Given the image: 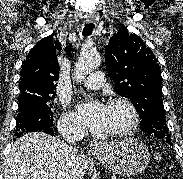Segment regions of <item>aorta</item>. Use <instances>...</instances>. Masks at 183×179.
Returning <instances> with one entry per match:
<instances>
[{
  "mask_svg": "<svg viewBox=\"0 0 183 179\" xmlns=\"http://www.w3.org/2000/svg\"><path fill=\"white\" fill-rule=\"evenodd\" d=\"M101 63V56L98 53L81 56L75 66V80L82 82L84 78L94 71Z\"/></svg>",
  "mask_w": 183,
  "mask_h": 179,
  "instance_id": "obj_1",
  "label": "aorta"
}]
</instances>
